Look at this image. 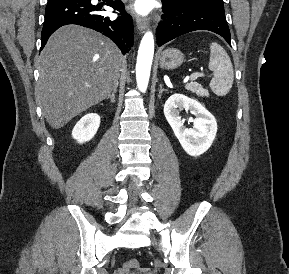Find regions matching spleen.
<instances>
[{
  "label": "spleen",
  "instance_id": "spleen-1",
  "mask_svg": "<svg viewBox=\"0 0 289 274\" xmlns=\"http://www.w3.org/2000/svg\"><path fill=\"white\" fill-rule=\"evenodd\" d=\"M209 69L214 74L211 90L218 96L226 95L233 85V66L226 51L216 42L210 44Z\"/></svg>",
  "mask_w": 289,
  "mask_h": 274
}]
</instances>
